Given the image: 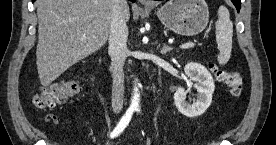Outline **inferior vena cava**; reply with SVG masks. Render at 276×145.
Here are the masks:
<instances>
[{"mask_svg": "<svg viewBox=\"0 0 276 145\" xmlns=\"http://www.w3.org/2000/svg\"><path fill=\"white\" fill-rule=\"evenodd\" d=\"M127 9V0H114L108 51L111 56V65L113 67L112 108L115 113L121 111L124 102L123 67L128 55Z\"/></svg>", "mask_w": 276, "mask_h": 145, "instance_id": "1", "label": "inferior vena cava"}]
</instances>
